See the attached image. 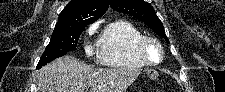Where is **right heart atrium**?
Listing matches in <instances>:
<instances>
[{
	"label": "right heart atrium",
	"instance_id": "d8ad5b80",
	"mask_svg": "<svg viewBox=\"0 0 225 92\" xmlns=\"http://www.w3.org/2000/svg\"><path fill=\"white\" fill-rule=\"evenodd\" d=\"M95 31H96V27H95V25H92L85 32L84 48H85V51H86L87 54H90L91 51H92L90 39H91L92 35L95 33Z\"/></svg>",
	"mask_w": 225,
	"mask_h": 92
}]
</instances>
